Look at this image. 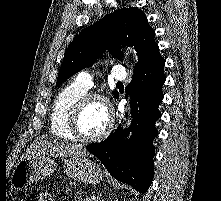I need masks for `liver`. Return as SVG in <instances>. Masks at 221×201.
Returning <instances> with one entry per match:
<instances>
[{
    "label": "liver",
    "mask_w": 221,
    "mask_h": 201,
    "mask_svg": "<svg viewBox=\"0 0 221 201\" xmlns=\"http://www.w3.org/2000/svg\"><path fill=\"white\" fill-rule=\"evenodd\" d=\"M34 155L71 157L76 155H88L85 149L78 144H68L58 141H43L33 144L25 157Z\"/></svg>",
    "instance_id": "6515ba94"
}]
</instances>
